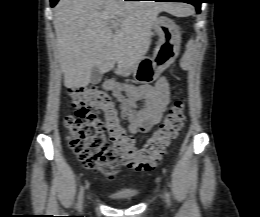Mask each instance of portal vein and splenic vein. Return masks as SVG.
Returning a JSON list of instances; mask_svg holds the SVG:
<instances>
[{
  "label": "portal vein and splenic vein",
  "mask_w": 260,
  "mask_h": 217,
  "mask_svg": "<svg viewBox=\"0 0 260 217\" xmlns=\"http://www.w3.org/2000/svg\"><path fill=\"white\" fill-rule=\"evenodd\" d=\"M110 25H111L112 27H115V24H114V22H112Z\"/></svg>",
  "instance_id": "portal-vein-and-splenic-vein-1"
}]
</instances>
